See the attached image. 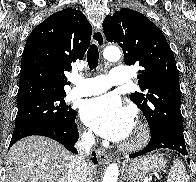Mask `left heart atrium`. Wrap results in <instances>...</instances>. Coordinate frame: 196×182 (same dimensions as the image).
<instances>
[{
    "label": "left heart atrium",
    "mask_w": 196,
    "mask_h": 182,
    "mask_svg": "<svg viewBox=\"0 0 196 182\" xmlns=\"http://www.w3.org/2000/svg\"><path fill=\"white\" fill-rule=\"evenodd\" d=\"M80 115L95 133L111 141L125 140L134 128L133 112L113 93L86 100Z\"/></svg>",
    "instance_id": "left-heart-atrium-1"
}]
</instances>
